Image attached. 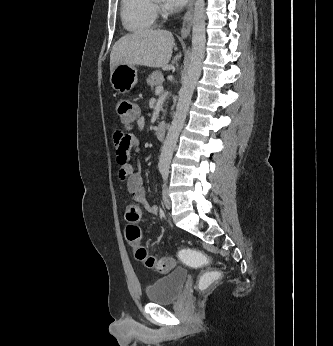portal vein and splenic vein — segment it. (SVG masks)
I'll return each mask as SVG.
<instances>
[{
	"label": "portal vein and splenic vein",
	"mask_w": 333,
	"mask_h": 346,
	"mask_svg": "<svg viewBox=\"0 0 333 346\" xmlns=\"http://www.w3.org/2000/svg\"><path fill=\"white\" fill-rule=\"evenodd\" d=\"M163 91V86H158L155 90L156 95H160V93Z\"/></svg>",
	"instance_id": "18ae733b"
}]
</instances>
